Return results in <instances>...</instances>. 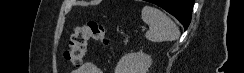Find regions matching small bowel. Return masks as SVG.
<instances>
[{"label": "small bowel", "instance_id": "small-bowel-1", "mask_svg": "<svg viewBox=\"0 0 244 73\" xmlns=\"http://www.w3.org/2000/svg\"><path fill=\"white\" fill-rule=\"evenodd\" d=\"M73 73H103V71L97 67L93 62H85Z\"/></svg>", "mask_w": 244, "mask_h": 73}]
</instances>
